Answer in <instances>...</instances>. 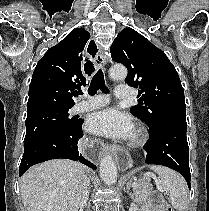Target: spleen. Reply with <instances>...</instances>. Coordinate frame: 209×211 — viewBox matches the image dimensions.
I'll return each mask as SVG.
<instances>
[{
    "label": "spleen",
    "mask_w": 209,
    "mask_h": 211,
    "mask_svg": "<svg viewBox=\"0 0 209 211\" xmlns=\"http://www.w3.org/2000/svg\"><path fill=\"white\" fill-rule=\"evenodd\" d=\"M151 169L158 174L163 189L169 195L172 206L178 211L185 210L188 200V187L183 177L163 166H151Z\"/></svg>",
    "instance_id": "1"
}]
</instances>
